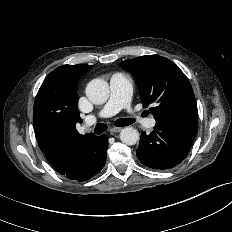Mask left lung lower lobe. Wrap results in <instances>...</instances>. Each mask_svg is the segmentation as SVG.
Instances as JSON below:
<instances>
[{"label":"left lung lower lobe","mask_w":232,"mask_h":232,"mask_svg":"<svg viewBox=\"0 0 232 232\" xmlns=\"http://www.w3.org/2000/svg\"><path fill=\"white\" fill-rule=\"evenodd\" d=\"M197 130L198 123L156 121L153 132L141 133L137 158L152 169H171L184 160Z\"/></svg>","instance_id":"obj_1"}]
</instances>
